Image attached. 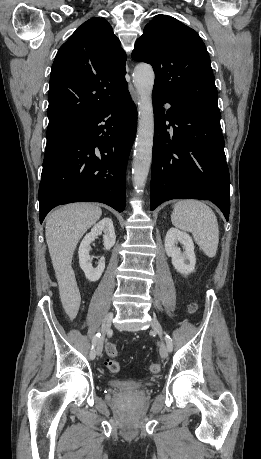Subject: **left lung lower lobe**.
<instances>
[{
	"instance_id": "left-lung-lower-lobe-1",
	"label": "left lung lower lobe",
	"mask_w": 261,
	"mask_h": 459,
	"mask_svg": "<svg viewBox=\"0 0 261 459\" xmlns=\"http://www.w3.org/2000/svg\"><path fill=\"white\" fill-rule=\"evenodd\" d=\"M163 103L171 105L166 114ZM153 108L151 210L171 199L210 200L228 221L230 178L220 112L179 105L156 92Z\"/></svg>"
}]
</instances>
